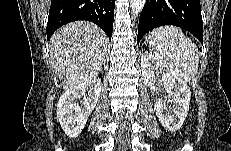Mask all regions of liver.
Segmentation results:
<instances>
[{"mask_svg": "<svg viewBox=\"0 0 231 151\" xmlns=\"http://www.w3.org/2000/svg\"><path fill=\"white\" fill-rule=\"evenodd\" d=\"M50 44L51 65L67 91L98 76L104 64L108 38L97 25L78 21L58 29Z\"/></svg>", "mask_w": 231, "mask_h": 151, "instance_id": "obj_1", "label": "liver"}]
</instances>
